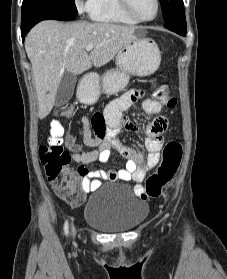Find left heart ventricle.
<instances>
[{"instance_id":"1","label":"left heart ventricle","mask_w":227,"mask_h":279,"mask_svg":"<svg viewBox=\"0 0 227 279\" xmlns=\"http://www.w3.org/2000/svg\"><path fill=\"white\" fill-rule=\"evenodd\" d=\"M132 8L140 18H151L155 13L154 0H130Z\"/></svg>"}]
</instances>
